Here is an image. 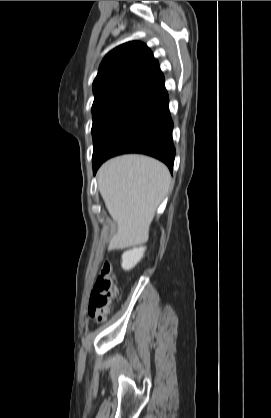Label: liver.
Segmentation results:
<instances>
[{
  "instance_id": "6515ba94",
  "label": "liver",
  "mask_w": 271,
  "mask_h": 418,
  "mask_svg": "<svg viewBox=\"0 0 271 418\" xmlns=\"http://www.w3.org/2000/svg\"><path fill=\"white\" fill-rule=\"evenodd\" d=\"M171 182L168 168L142 155H123L105 162L98 171V189L117 223L109 249L145 243L155 211Z\"/></svg>"
}]
</instances>
